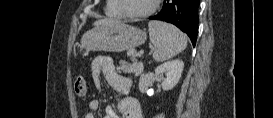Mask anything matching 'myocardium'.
<instances>
[{"label":"myocardium","mask_w":273,"mask_h":118,"mask_svg":"<svg viewBox=\"0 0 273 118\" xmlns=\"http://www.w3.org/2000/svg\"><path fill=\"white\" fill-rule=\"evenodd\" d=\"M117 1H118V6L121 9V11L123 12V14L126 17L132 18V19H140V18L149 17L157 10L158 5H159V0H153V4L148 10L143 11V12H139V13H133V12H130L127 10L125 0H117Z\"/></svg>","instance_id":"myocardium-1"}]
</instances>
